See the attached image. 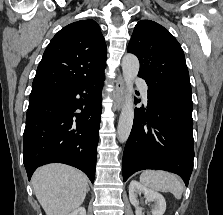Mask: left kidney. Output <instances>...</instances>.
I'll return each mask as SVG.
<instances>
[{"label":"left kidney","mask_w":223,"mask_h":215,"mask_svg":"<svg viewBox=\"0 0 223 215\" xmlns=\"http://www.w3.org/2000/svg\"><path fill=\"white\" fill-rule=\"evenodd\" d=\"M136 193H144L147 201H154V207L152 209L153 215H163L166 209V201L158 191H153V189H148L145 185H141L139 181H131L129 185V199L133 205L136 207V215H142V209L139 207V201L136 197Z\"/></svg>","instance_id":"1"}]
</instances>
